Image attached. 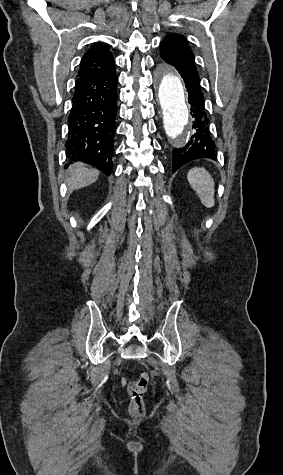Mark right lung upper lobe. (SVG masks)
<instances>
[{
    "label": "right lung upper lobe",
    "mask_w": 283,
    "mask_h": 475,
    "mask_svg": "<svg viewBox=\"0 0 283 475\" xmlns=\"http://www.w3.org/2000/svg\"><path fill=\"white\" fill-rule=\"evenodd\" d=\"M115 67L108 44L95 43L84 54L77 76L104 73Z\"/></svg>",
    "instance_id": "cb5924a9"
}]
</instances>
